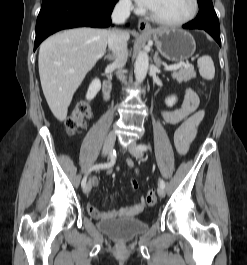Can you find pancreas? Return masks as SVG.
Returning <instances> with one entry per match:
<instances>
[{
    "instance_id": "pancreas-1",
    "label": "pancreas",
    "mask_w": 247,
    "mask_h": 265,
    "mask_svg": "<svg viewBox=\"0 0 247 265\" xmlns=\"http://www.w3.org/2000/svg\"><path fill=\"white\" fill-rule=\"evenodd\" d=\"M172 77L178 82H188L189 80L196 77V72L193 66L184 67L179 71H173Z\"/></svg>"
}]
</instances>
